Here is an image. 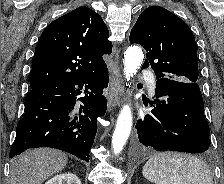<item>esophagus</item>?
I'll use <instances>...</instances> for the list:
<instances>
[{
  "instance_id": "esophagus-1",
  "label": "esophagus",
  "mask_w": 224,
  "mask_h": 184,
  "mask_svg": "<svg viewBox=\"0 0 224 184\" xmlns=\"http://www.w3.org/2000/svg\"><path fill=\"white\" fill-rule=\"evenodd\" d=\"M122 74L119 66V51L115 53V63L111 76L110 92L108 96V109L109 111L120 106V96L122 93Z\"/></svg>"
}]
</instances>
